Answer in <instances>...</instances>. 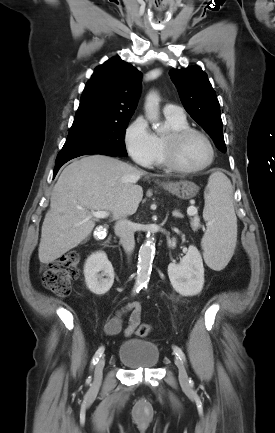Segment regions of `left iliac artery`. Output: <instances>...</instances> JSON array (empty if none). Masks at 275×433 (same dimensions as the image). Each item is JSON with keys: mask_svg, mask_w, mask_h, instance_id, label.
Returning a JSON list of instances; mask_svg holds the SVG:
<instances>
[{"mask_svg": "<svg viewBox=\"0 0 275 433\" xmlns=\"http://www.w3.org/2000/svg\"><path fill=\"white\" fill-rule=\"evenodd\" d=\"M173 350H174V353L182 360V361H186V357H185V354H184V352L179 348V347H177V346H173ZM189 382H191V381H189Z\"/></svg>", "mask_w": 275, "mask_h": 433, "instance_id": "obj_1", "label": "left iliac artery"}]
</instances>
